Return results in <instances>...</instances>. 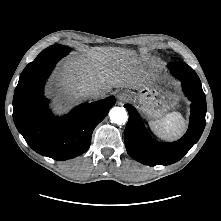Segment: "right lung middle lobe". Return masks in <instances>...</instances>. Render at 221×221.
<instances>
[{"mask_svg":"<svg viewBox=\"0 0 221 221\" xmlns=\"http://www.w3.org/2000/svg\"><path fill=\"white\" fill-rule=\"evenodd\" d=\"M49 48H56V49H63V50H70V48L69 47H65V46H62V45H59V44H56V45H53V46H51V47H49Z\"/></svg>","mask_w":221,"mask_h":221,"instance_id":"right-lung-middle-lobe-1","label":"right lung middle lobe"}]
</instances>
